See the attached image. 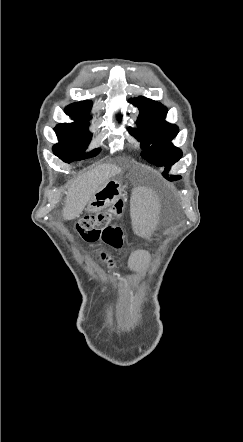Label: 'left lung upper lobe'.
I'll return each instance as SVG.
<instances>
[{
  "label": "left lung upper lobe",
  "mask_w": 243,
  "mask_h": 442,
  "mask_svg": "<svg viewBox=\"0 0 243 442\" xmlns=\"http://www.w3.org/2000/svg\"><path fill=\"white\" fill-rule=\"evenodd\" d=\"M138 107L140 114L137 119L138 129H130V133L141 142L144 150L142 157L157 166H171L181 157L180 149L173 146L171 140L178 134V127L164 121L167 109L161 103L140 96L131 100Z\"/></svg>",
  "instance_id": "obj_1"
}]
</instances>
